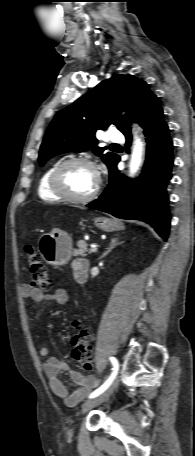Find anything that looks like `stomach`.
<instances>
[{
  "label": "stomach",
  "mask_w": 195,
  "mask_h": 456,
  "mask_svg": "<svg viewBox=\"0 0 195 456\" xmlns=\"http://www.w3.org/2000/svg\"><path fill=\"white\" fill-rule=\"evenodd\" d=\"M94 224L97 228L106 232L118 231L124 228L121 222L106 217L95 218ZM39 250L42 258L47 263L63 265L71 258L72 239L65 231L55 228L42 237Z\"/></svg>",
  "instance_id": "obj_1"
}]
</instances>
